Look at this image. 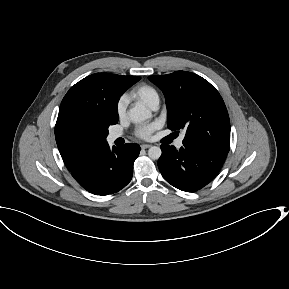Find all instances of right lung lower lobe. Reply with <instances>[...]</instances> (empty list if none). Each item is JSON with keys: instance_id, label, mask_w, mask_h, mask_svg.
Wrapping results in <instances>:
<instances>
[{"instance_id": "obj_1", "label": "right lung lower lobe", "mask_w": 289, "mask_h": 289, "mask_svg": "<svg viewBox=\"0 0 289 289\" xmlns=\"http://www.w3.org/2000/svg\"><path fill=\"white\" fill-rule=\"evenodd\" d=\"M140 146L127 143L110 150L106 145L87 156L74 170V179L87 191L95 195L113 194L124 188L132 179L133 163Z\"/></svg>"}]
</instances>
